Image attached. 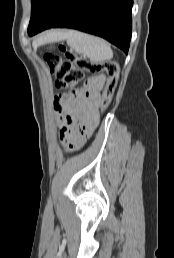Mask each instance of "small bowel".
I'll return each mask as SVG.
<instances>
[{
  "label": "small bowel",
  "instance_id": "obj_1",
  "mask_svg": "<svg viewBox=\"0 0 174 258\" xmlns=\"http://www.w3.org/2000/svg\"><path fill=\"white\" fill-rule=\"evenodd\" d=\"M106 85L103 74L91 77L77 97L59 94L53 107L60 126V135L69 151L82 147L99 124L102 96L99 90Z\"/></svg>",
  "mask_w": 174,
  "mask_h": 258
}]
</instances>
